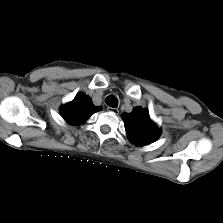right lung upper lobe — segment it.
<instances>
[{
	"label": "right lung upper lobe",
	"instance_id": "right-lung-upper-lobe-1",
	"mask_svg": "<svg viewBox=\"0 0 223 223\" xmlns=\"http://www.w3.org/2000/svg\"><path fill=\"white\" fill-rule=\"evenodd\" d=\"M99 110L100 108L95 107L88 96L81 93L73 101L64 105L61 108V113L68 123L79 125Z\"/></svg>",
	"mask_w": 223,
	"mask_h": 223
}]
</instances>
